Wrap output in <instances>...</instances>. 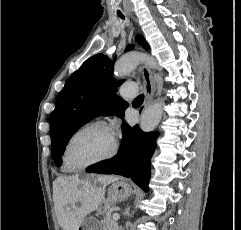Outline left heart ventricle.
Here are the masks:
<instances>
[{"label":"left heart ventricle","mask_w":241,"mask_h":230,"mask_svg":"<svg viewBox=\"0 0 241 230\" xmlns=\"http://www.w3.org/2000/svg\"><path fill=\"white\" fill-rule=\"evenodd\" d=\"M113 147V135L103 128H90L75 137L70 145L68 159L78 166L108 154Z\"/></svg>","instance_id":"1"}]
</instances>
